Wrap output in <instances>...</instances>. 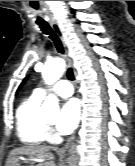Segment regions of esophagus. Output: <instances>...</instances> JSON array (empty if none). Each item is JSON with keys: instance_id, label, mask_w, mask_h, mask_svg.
Listing matches in <instances>:
<instances>
[{"instance_id": "esophagus-1", "label": "esophagus", "mask_w": 135, "mask_h": 166, "mask_svg": "<svg viewBox=\"0 0 135 166\" xmlns=\"http://www.w3.org/2000/svg\"><path fill=\"white\" fill-rule=\"evenodd\" d=\"M50 26L52 27V29L54 30V32L57 34V36L60 38L64 48H65V51H66V60L69 64V66H72V59L69 57L68 55V50H67V47H66V44H65V40H64V36H63V33L58 25L57 22H54V21H51L50 22ZM75 76H76V73H75ZM74 140V136L70 137V139L68 140V142L66 143V145L63 147V149L67 148L69 146V144Z\"/></svg>"}]
</instances>
